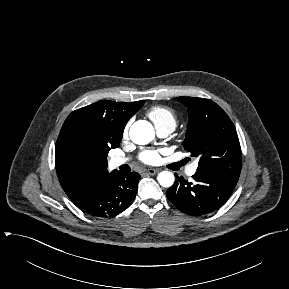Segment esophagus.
Here are the masks:
<instances>
[{"instance_id": "34e87169", "label": "esophagus", "mask_w": 289, "mask_h": 289, "mask_svg": "<svg viewBox=\"0 0 289 289\" xmlns=\"http://www.w3.org/2000/svg\"><path fill=\"white\" fill-rule=\"evenodd\" d=\"M159 172V169H154V168H150V169H147L145 171V174H148V175H155Z\"/></svg>"}]
</instances>
